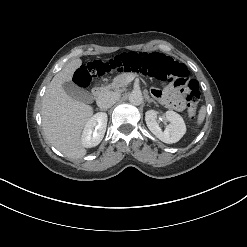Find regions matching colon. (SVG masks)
I'll return each mask as SVG.
<instances>
[{
	"mask_svg": "<svg viewBox=\"0 0 247 247\" xmlns=\"http://www.w3.org/2000/svg\"><path fill=\"white\" fill-rule=\"evenodd\" d=\"M111 71L138 72L182 86L188 114L192 120L196 118L200 101L199 83L191 78L188 68L183 63L159 52H128L107 63H88L76 71L75 81L79 86L86 87L93 79Z\"/></svg>",
	"mask_w": 247,
	"mask_h": 247,
	"instance_id": "5ec220e1",
	"label": "colon"
}]
</instances>
